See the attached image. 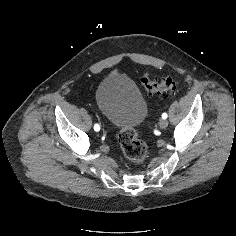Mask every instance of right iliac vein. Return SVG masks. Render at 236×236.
I'll list each match as a JSON object with an SVG mask.
<instances>
[{"label": "right iliac vein", "instance_id": "obj_1", "mask_svg": "<svg viewBox=\"0 0 236 236\" xmlns=\"http://www.w3.org/2000/svg\"><path fill=\"white\" fill-rule=\"evenodd\" d=\"M98 114H99V112H97V113L95 114V118H96V120H97V123H98L99 126H100V130H104V127L102 126L103 124L100 122L99 117H98Z\"/></svg>", "mask_w": 236, "mask_h": 236}]
</instances>
